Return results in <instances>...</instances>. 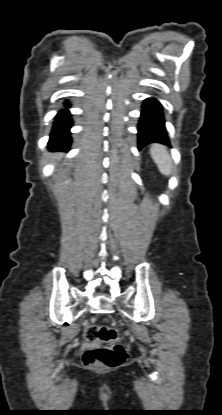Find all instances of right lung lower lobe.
<instances>
[{
  "mask_svg": "<svg viewBox=\"0 0 222 415\" xmlns=\"http://www.w3.org/2000/svg\"><path fill=\"white\" fill-rule=\"evenodd\" d=\"M69 107V104H65ZM72 119L69 110L62 109L55 117L52 132L50 134L49 147L53 150H68L71 144L70 128Z\"/></svg>",
  "mask_w": 222,
  "mask_h": 415,
  "instance_id": "obj_1",
  "label": "right lung lower lobe"
}]
</instances>
